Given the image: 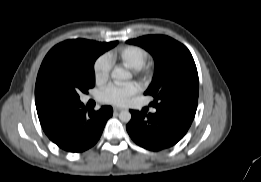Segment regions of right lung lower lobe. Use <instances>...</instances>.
Instances as JSON below:
<instances>
[{"label":"right lung lower lobe","instance_id":"98d812e1","mask_svg":"<svg viewBox=\"0 0 261 182\" xmlns=\"http://www.w3.org/2000/svg\"><path fill=\"white\" fill-rule=\"evenodd\" d=\"M113 109L103 106L99 111L86 112L81 102L59 105L39 118L51 141L69 152H82L100 138Z\"/></svg>","mask_w":261,"mask_h":182}]
</instances>
